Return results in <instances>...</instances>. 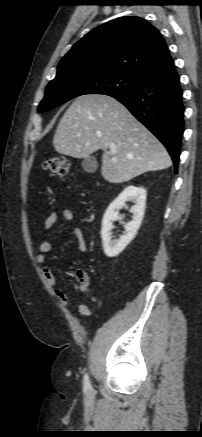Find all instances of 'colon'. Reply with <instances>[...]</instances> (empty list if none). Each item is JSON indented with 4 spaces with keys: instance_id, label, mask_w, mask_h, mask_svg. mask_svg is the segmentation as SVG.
Segmentation results:
<instances>
[{
    "instance_id": "obj_1",
    "label": "colon",
    "mask_w": 202,
    "mask_h": 437,
    "mask_svg": "<svg viewBox=\"0 0 202 437\" xmlns=\"http://www.w3.org/2000/svg\"><path fill=\"white\" fill-rule=\"evenodd\" d=\"M43 167L51 174L66 176L70 170V162L64 157H51L44 162ZM84 276V273L81 271L77 272L76 274V281L82 290L87 289L85 286Z\"/></svg>"
}]
</instances>
